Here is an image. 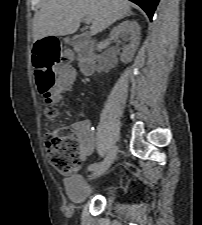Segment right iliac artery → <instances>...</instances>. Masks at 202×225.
<instances>
[{
	"label": "right iliac artery",
	"instance_id": "right-iliac-artery-1",
	"mask_svg": "<svg viewBox=\"0 0 202 225\" xmlns=\"http://www.w3.org/2000/svg\"><path fill=\"white\" fill-rule=\"evenodd\" d=\"M102 162L100 163H94V164H91L90 166H88V171H93L95 170L96 168H98L100 165H101Z\"/></svg>",
	"mask_w": 202,
	"mask_h": 225
}]
</instances>
